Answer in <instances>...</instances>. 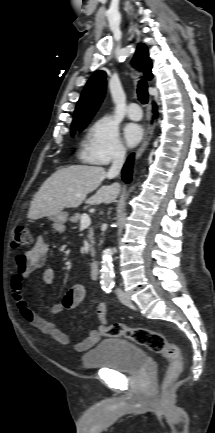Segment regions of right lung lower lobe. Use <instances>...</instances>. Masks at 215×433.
Returning <instances> with one entry per match:
<instances>
[{
	"instance_id": "obj_1",
	"label": "right lung lower lobe",
	"mask_w": 215,
	"mask_h": 433,
	"mask_svg": "<svg viewBox=\"0 0 215 433\" xmlns=\"http://www.w3.org/2000/svg\"><path fill=\"white\" fill-rule=\"evenodd\" d=\"M153 112L155 114H157L155 105H154ZM133 160H134V158H133V154H132L129 156V158H128V160H127V162L124 165L123 170H122V178L126 183H129L131 181V169H132Z\"/></svg>"
}]
</instances>
